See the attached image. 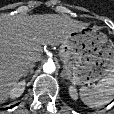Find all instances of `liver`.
Instances as JSON below:
<instances>
[{
    "label": "liver",
    "mask_w": 114,
    "mask_h": 114,
    "mask_svg": "<svg viewBox=\"0 0 114 114\" xmlns=\"http://www.w3.org/2000/svg\"><path fill=\"white\" fill-rule=\"evenodd\" d=\"M87 26L54 14L0 18V104L11 88L41 59L44 45H60L69 33Z\"/></svg>",
    "instance_id": "obj_1"
}]
</instances>
